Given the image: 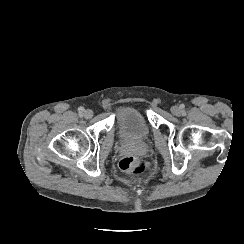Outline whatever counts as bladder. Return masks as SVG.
I'll use <instances>...</instances> for the list:
<instances>
[{
	"label": "bladder",
	"instance_id": "obj_1",
	"mask_svg": "<svg viewBox=\"0 0 244 244\" xmlns=\"http://www.w3.org/2000/svg\"><path fill=\"white\" fill-rule=\"evenodd\" d=\"M116 114L120 133L126 142H138L149 137V124L140 111L123 106L116 111Z\"/></svg>",
	"mask_w": 244,
	"mask_h": 244
}]
</instances>
